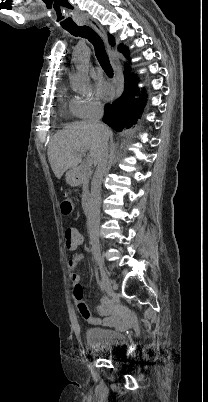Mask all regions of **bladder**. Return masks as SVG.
<instances>
[{
    "mask_svg": "<svg viewBox=\"0 0 208 402\" xmlns=\"http://www.w3.org/2000/svg\"><path fill=\"white\" fill-rule=\"evenodd\" d=\"M124 336L114 330L102 328H86L85 343L91 352L108 349L117 353L120 351Z\"/></svg>",
    "mask_w": 208,
    "mask_h": 402,
    "instance_id": "bladder-1",
    "label": "bladder"
}]
</instances>
